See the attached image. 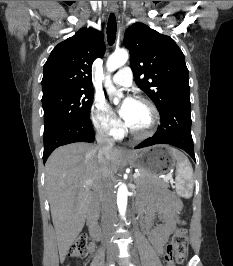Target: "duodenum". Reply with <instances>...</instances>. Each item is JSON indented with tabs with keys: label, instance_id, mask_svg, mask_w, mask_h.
Returning <instances> with one entry per match:
<instances>
[{
	"label": "duodenum",
	"instance_id": "obj_1",
	"mask_svg": "<svg viewBox=\"0 0 233 266\" xmlns=\"http://www.w3.org/2000/svg\"><path fill=\"white\" fill-rule=\"evenodd\" d=\"M88 226L90 235L99 240L102 238V232L99 226V202L97 198H94L90 204Z\"/></svg>",
	"mask_w": 233,
	"mask_h": 266
}]
</instances>
